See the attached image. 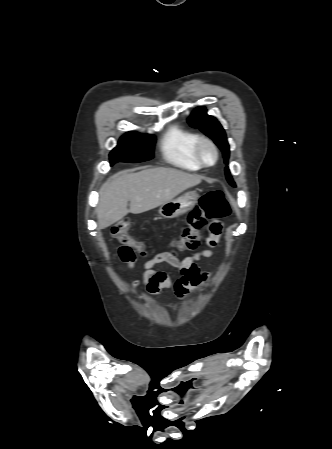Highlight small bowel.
Returning <instances> with one entry per match:
<instances>
[{
	"mask_svg": "<svg viewBox=\"0 0 332 449\" xmlns=\"http://www.w3.org/2000/svg\"><path fill=\"white\" fill-rule=\"evenodd\" d=\"M212 225L216 227L217 232L209 230L206 239L207 248L185 258H179L175 251H164L155 255L144 263V272L133 282V289L143 286L153 296H159L165 289H174L177 296L182 299L192 294L209 278V273L201 270L197 263L214 256L213 249L219 241L222 225L220 222ZM161 263H167L176 268L181 273V277L173 282L165 271L155 269V266ZM129 267L132 268L133 263H129Z\"/></svg>",
	"mask_w": 332,
	"mask_h": 449,
	"instance_id": "c3829d8e",
	"label": "small bowel"
}]
</instances>
